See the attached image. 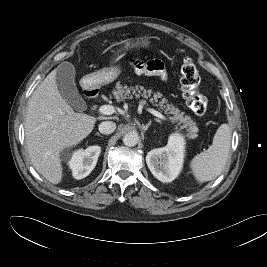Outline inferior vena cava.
Listing matches in <instances>:
<instances>
[{
  "label": "inferior vena cava",
  "mask_w": 267,
  "mask_h": 267,
  "mask_svg": "<svg viewBox=\"0 0 267 267\" xmlns=\"http://www.w3.org/2000/svg\"><path fill=\"white\" fill-rule=\"evenodd\" d=\"M116 129V124L112 121H105L99 124V131L102 134H111Z\"/></svg>",
  "instance_id": "inferior-vena-cava-1"
}]
</instances>
